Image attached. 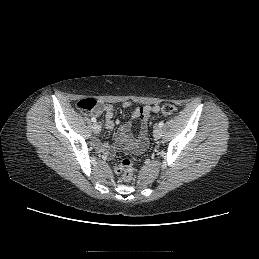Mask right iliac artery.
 <instances>
[{"instance_id": "1", "label": "right iliac artery", "mask_w": 259, "mask_h": 259, "mask_svg": "<svg viewBox=\"0 0 259 259\" xmlns=\"http://www.w3.org/2000/svg\"><path fill=\"white\" fill-rule=\"evenodd\" d=\"M91 121L95 123V122H96V118H95V117H92V118H91Z\"/></svg>"}]
</instances>
